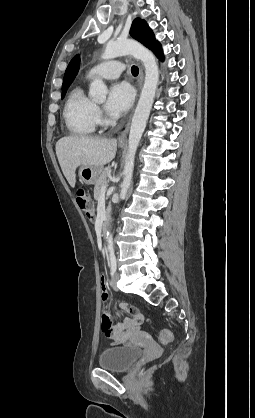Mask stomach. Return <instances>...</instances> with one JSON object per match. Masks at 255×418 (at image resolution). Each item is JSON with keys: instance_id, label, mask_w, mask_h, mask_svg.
Masks as SVG:
<instances>
[{"instance_id": "0dacf381", "label": "stomach", "mask_w": 255, "mask_h": 418, "mask_svg": "<svg viewBox=\"0 0 255 418\" xmlns=\"http://www.w3.org/2000/svg\"><path fill=\"white\" fill-rule=\"evenodd\" d=\"M102 171L103 168L100 166H81L79 169V178L86 184H92L97 180Z\"/></svg>"}]
</instances>
